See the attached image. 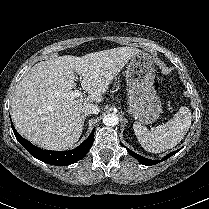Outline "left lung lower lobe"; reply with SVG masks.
I'll return each mask as SVG.
<instances>
[{
  "label": "left lung lower lobe",
  "instance_id": "0a47b994",
  "mask_svg": "<svg viewBox=\"0 0 209 209\" xmlns=\"http://www.w3.org/2000/svg\"><path fill=\"white\" fill-rule=\"evenodd\" d=\"M128 153L133 156L134 158H136L140 163H142L143 165H146V166H150V165H155L159 162H162L168 158H170L172 155H174L175 153H177L180 149H178L177 151H174V152H171L169 153L168 155H166L164 158H162L161 160H150V159H147V158H144L136 153H134L133 151H131L130 149L126 148Z\"/></svg>",
  "mask_w": 209,
  "mask_h": 209
}]
</instances>
